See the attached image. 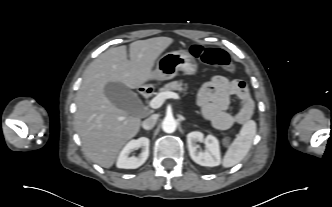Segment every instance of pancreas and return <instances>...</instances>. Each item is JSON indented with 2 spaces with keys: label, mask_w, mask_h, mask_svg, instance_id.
<instances>
[{
  "label": "pancreas",
  "mask_w": 332,
  "mask_h": 207,
  "mask_svg": "<svg viewBox=\"0 0 332 207\" xmlns=\"http://www.w3.org/2000/svg\"><path fill=\"white\" fill-rule=\"evenodd\" d=\"M187 88H188L187 84H183L181 81H173L167 83L164 87H162L160 89V93L179 91V92H184V94H186Z\"/></svg>",
  "instance_id": "1"
}]
</instances>
